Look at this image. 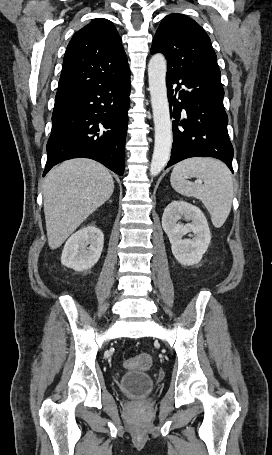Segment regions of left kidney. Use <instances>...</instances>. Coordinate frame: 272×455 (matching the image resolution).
<instances>
[{
  "instance_id": "obj_1",
  "label": "left kidney",
  "mask_w": 272,
  "mask_h": 455,
  "mask_svg": "<svg viewBox=\"0 0 272 455\" xmlns=\"http://www.w3.org/2000/svg\"><path fill=\"white\" fill-rule=\"evenodd\" d=\"M181 216L191 220V223H178ZM162 227L171 243L172 253L180 264L190 266L201 261L210 244L211 233L208 222L198 207L184 201L171 202L164 210ZM190 232L194 237L183 239Z\"/></svg>"
}]
</instances>
